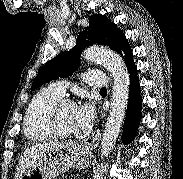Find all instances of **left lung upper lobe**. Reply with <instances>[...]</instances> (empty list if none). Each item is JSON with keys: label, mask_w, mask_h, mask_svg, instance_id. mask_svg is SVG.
<instances>
[{"label": "left lung upper lobe", "mask_w": 183, "mask_h": 179, "mask_svg": "<svg viewBox=\"0 0 183 179\" xmlns=\"http://www.w3.org/2000/svg\"><path fill=\"white\" fill-rule=\"evenodd\" d=\"M124 34L105 15L94 14L89 18V27L77 37L76 45L70 51L60 53L48 61L38 72L31 89L57 78H66L80 66V56L86 46L100 44L116 50Z\"/></svg>", "instance_id": "obj_1"}]
</instances>
